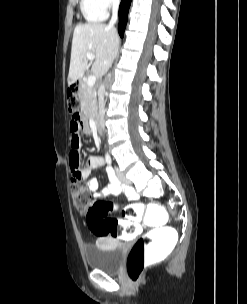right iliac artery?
Segmentation results:
<instances>
[{"mask_svg":"<svg viewBox=\"0 0 247 304\" xmlns=\"http://www.w3.org/2000/svg\"><path fill=\"white\" fill-rule=\"evenodd\" d=\"M106 162L108 165H111V158L109 156L106 157Z\"/></svg>","mask_w":247,"mask_h":304,"instance_id":"right-iliac-artery-1","label":"right iliac artery"}]
</instances>
